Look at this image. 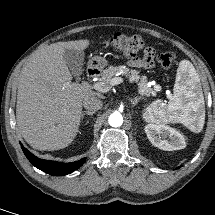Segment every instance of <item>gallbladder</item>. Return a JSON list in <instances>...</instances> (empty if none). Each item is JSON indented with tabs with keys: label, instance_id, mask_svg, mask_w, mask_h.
I'll list each match as a JSON object with an SVG mask.
<instances>
[{
	"label": "gallbladder",
	"instance_id": "bac80fb5",
	"mask_svg": "<svg viewBox=\"0 0 215 215\" xmlns=\"http://www.w3.org/2000/svg\"><path fill=\"white\" fill-rule=\"evenodd\" d=\"M64 60L66 65L71 70L74 76H80L83 72V65H84V52L73 50V49H66L64 51Z\"/></svg>",
	"mask_w": 215,
	"mask_h": 215
}]
</instances>
